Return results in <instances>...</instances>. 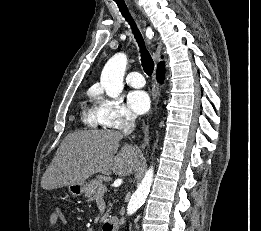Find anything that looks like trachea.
<instances>
[{"instance_id": "trachea-1", "label": "trachea", "mask_w": 261, "mask_h": 231, "mask_svg": "<svg viewBox=\"0 0 261 231\" xmlns=\"http://www.w3.org/2000/svg\"><path fill=\"white\" fill-rule=\"evenodd\" d=\"M116 3L118 5L122 15L125 17L126 21L129 22L131 29H132V33L134 34V37L139 45L143 70L145 71V73L148 76H151L153 73V70H154V62H153V59H152L150 53L148 52V50L145 47L143 37H142L139 29L137 28L136 24L130 17L124 2L122 0H116Z\"/></svg>"}]
</instances>
